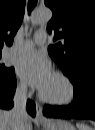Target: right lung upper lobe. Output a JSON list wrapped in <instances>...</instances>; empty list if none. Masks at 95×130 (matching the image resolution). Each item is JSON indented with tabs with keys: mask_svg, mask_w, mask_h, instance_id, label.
<instances>
[{
	"mask_svg": "<svg viewBox=\"0 0 95 130\" xmlns=\"http://www.w3.org/2000/svg\"><path fill=\"white\" fill-rule=\"evenodd\" d=\"M24 11L25 0H0V55L4 43L12 44Z\"/></svg>",
	"mask_w": 95,
	"mask_h": 130,
	"instance_id": "obj_1",
	"label": "right lung upper lobe"
}]
</instances>
